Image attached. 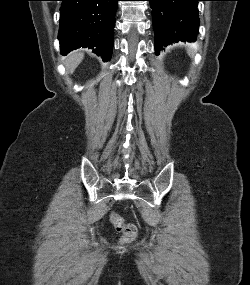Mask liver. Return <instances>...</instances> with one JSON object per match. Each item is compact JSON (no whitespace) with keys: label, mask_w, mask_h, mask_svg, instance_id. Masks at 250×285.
Segmentation results:
<instances>
[{"label":"liver","mask_w":250,"mask_h":285,"mask_svg":"<svg viewBox=\"0 0 250 285\" xmlns=\"http://www.w3.org/2000/svg\"><path fill=\"white\" fill-rule=\"evenodd\" d=\"M84 58V53L83 52H73L71 53L66 61H65V66L66 69L69 73H73L74 70L78 67V65L81 63V61Z\"/></svg>","instance_id":"obj_1"}]
</instances>
